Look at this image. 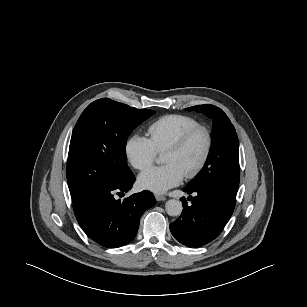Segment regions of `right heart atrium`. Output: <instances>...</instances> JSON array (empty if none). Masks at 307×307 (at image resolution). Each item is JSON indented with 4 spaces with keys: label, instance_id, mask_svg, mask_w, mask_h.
I'll use <instances>...</instances> for the list:
<instances>
[{
    "label": "right heart atrium",
    "instance_id": "right-heart-atrium-1",
    "mask_svg": "<svg viewBox=\"0 0 307 307\" xmlns=\"http://www.w3.org/2000/svg\"><path fill=\"white\" fill-rule=\"evenodd\" d=\"M125 151L131 165L137 170L148 168L157 157L150 140L137 134L128 138Z\"/></svg>",
    "mask_w": 307,
    "mask_h": 307
}]
</instances>
